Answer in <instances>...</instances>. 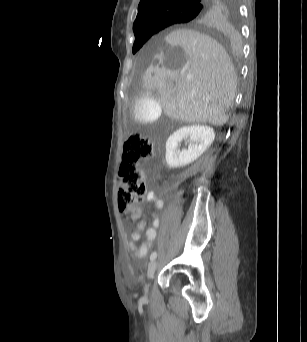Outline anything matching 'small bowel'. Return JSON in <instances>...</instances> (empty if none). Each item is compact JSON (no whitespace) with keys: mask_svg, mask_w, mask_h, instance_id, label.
Masks as SVG:
<instances>
[{"mask_svg":"<svg viewBox=\"0 0 307 342\" xmlns=\"http://www.w3.org/2000/svg\"><path fill=\"white\" fill-rule=\"evenodd\" d=\"M146 199L149 202H155V205L158 209H161L164 206V202L157 198L154 192H148L146 195ZM152 219V226L149 227L146 230V239L145 241L142 242L140 247H137L135 245V242L139 240L140 238V233L143 231L146 227V223L144 221H141L137 228L131 232L130 234V243L129 247L131 252L138 258H142L146 256L151 248V245L156 238L157 235V229H158V224H159V216L156 212L152 213L151 215Z\"/></svg>","mask_w":307,"mask_h":342,"instance_id":"obj_1","label":"small bowel"}]
</instances>
